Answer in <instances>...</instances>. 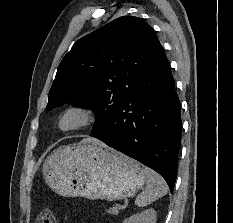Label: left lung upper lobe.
I'll return each instance as SVG.
<instances>
[{
    "label": "left lung upper lobe",
    "mask_w": 233,
    "mask_h": 223,
    "mask_svg": "<svg viewBox=\"0 0 233 223\" xmlns=\"http://www.w3.org/2000/svg\"><path fill=\"white\" fill-rule=\"evenodd\" d=\"M160 42L151 26L123 16L78 40L62 59L46 110L72 102L95 112L97 133L128 100Z\"/></svg>",
    "instance_id": "1"
}]
</instances>
